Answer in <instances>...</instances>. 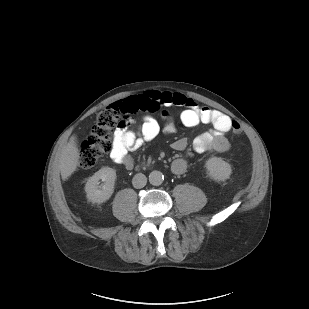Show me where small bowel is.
Masks as SVG:
<instances>
[{
  "instance_id": "c3829d8e",
  "label": "small bowel",
  "mask_w": 309,
  "mask_h": 309,
  "mask_svg": "<svg viewBox=\"0 0 309 309\" xmlns=\"http://www.w3.org/2000/svg\"><path fill=\"white\" fill-rule=\"evenodd\" d=\"M131 112L147 111L152 114H159L164 121L163 127L155 116L144 117L139 130L118 129L114 132L111 159L130 169L134 161L129 151L137 150L144 144L155 139L161 130L165 133H174L176 127L169 113L162 107L183 106L185 109L181 113V121L187 127H194L200 122L209 123L212 129L197 136L192 144L193 150L197 153L207 151L226 152L229 149V141L226 134L232 128V120L224 113L200 106L193 100L186 98L180 93L147 91L143 94L132 96L125 100ZM187 147V140L179 138L173 143V148L183 151ZM188 166L185 158L176 159L171 166L174 175L182 174Z\"/></svg>"
}]
</instances>
